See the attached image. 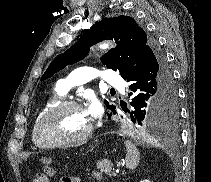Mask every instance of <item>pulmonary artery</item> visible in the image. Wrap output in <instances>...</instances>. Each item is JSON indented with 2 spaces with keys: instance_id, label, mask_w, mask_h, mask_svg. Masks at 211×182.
<instances>
[{
  "instance_id": "e3ab8cb5",
  "label": "pulmonary artery",
  "mask_w": 211,
  "mask_h": 182,
  "mask_svg": "<svg viewBox=\"0 0 211 182\" xmlns=\"http://www.w3.org/2000/svg\"><path fill=\"white\" fill-rule=\"evenodd\" d=\"M96 77H102L106 83L113 86L122 85L120 75L112 70L106 69L101 71L94 67L84 66L74 70L69 77L61 80L57 84V91L64 95L68 93L72 87L87 83Z\"/></svg>"
}]
</instances>
